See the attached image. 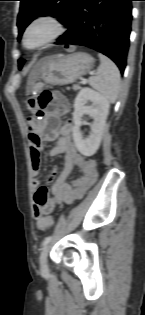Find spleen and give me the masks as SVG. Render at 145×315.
<instances>
[{
	"label": "spleen",
	"mask_w": 145,
	"mask_h": 315,
	"mask_svg": "<svg viewBox=\"0 0 145 315\" xmlns=\"http://www.w3.org/2000/svg\"><path fill=\"white\" fill-rule=\"evenodd\" d=\"M100 66L97 75L90 77L89 85L97 90L108 102L114 103L118 98L121 79L118 67L108 57L99 54Z\"/></svg>",
	"instance_id": "obj_1"
}]
</instances>
